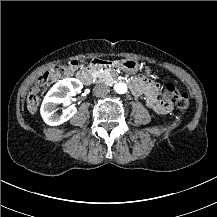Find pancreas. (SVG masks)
Returning <instances> with one entry per match:
<instances>
[{"instance_id":"cf45deb5","label":"pancreas","mask_w":217,"mask_h":217,"mask_svg":"<svg viewBox=\"0 0 217 217\" xmlns=\"http://www.w3.org/2000/svg\"><path fill=\"white\" fill-rule=\"evenodd\" d=\"M110 76L115 77V74L112 75L111 71L106 70L99 77H101V78H107V77H110Z\"/></svg>"}]
</instances>
